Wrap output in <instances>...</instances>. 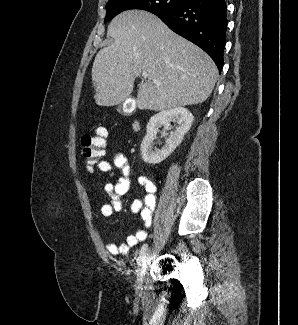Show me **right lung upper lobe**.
Wrapping results in <instances>:
<instances>
[{
  "instance_id": "cb5924a9",
  "label": "right lung upper lobe",
  "mask_w": 298,
  "mask_h": 325,
  "mask_svg": "<svg viewBox=\"0 0 298 325\" xmlns=\"http://www.w3.org/2000/svg\"><path fill=\"white\" fill-rule=\"evenodd\" d=\"M110 1H113V0H109L108 2H110ZM157 13H159V12H157ZM156 14V13H155Z\"/></svg>"
}]
</instances>
